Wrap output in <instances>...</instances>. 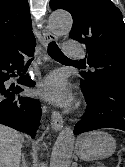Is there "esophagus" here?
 <instances>
[{
    "instance_id": "obj_1",
    "label": "esophagus",
    "mask_w": 125,
    "mask_h": 167,
    "mask_svg": "<svg viewBox=\"0 0 125 167\" xmlns=\"http://www.w3.org/2000/svg\"><path fill=\"white\" fill-rule=\"evenodd\" d=\"M44 45L47 46L52 41H57V36L48 28L44 27L42 29ZM63 117L60 112L56 109L53 110L51 115V127L54 131L58 132L63 127Z\"/></svg>"
}]
</instances>
